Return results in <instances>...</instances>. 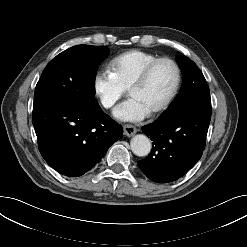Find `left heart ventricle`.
<instances>
[{"label":"left heart ventricle","mask_w":247,"mask_h":247,"mask_svg":"<svg viewBox=\"0 0 247 247\" xmlns=\"http://www.w3.org/2000/svg\"><path fill=\"white\" fill-rule=\"evenodd\" d=\"M175 80L174 68L169 63H160L150 74L147 82L129 94L152 110L170 92Z\"/></svg>","instance_id":"left-heart-ventricle-1"}]
</instances>
